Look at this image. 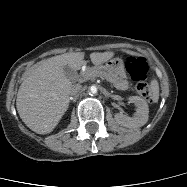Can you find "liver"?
I'll return each mask as SVG.
<instances>
[{"mask_svg": "<svg viewBox=\"0 0 187 187\" xmlns=\"http://www.w3.org/2000/svg\"><path fill=\"white\" fill-rule=\"evenodd\" d=\"M84 53H66L42 60L27 74L19 87L16 108L20 118L32 131L48 134L57 126L69 106L72 82L64 73V66L79 70ZM114 52H93L91 62L102 65Z\"/></svg>", "mask_w": 187, "mask_h": 187, "instance_id": "obj_1", "label": "liver"}]
</instances>
